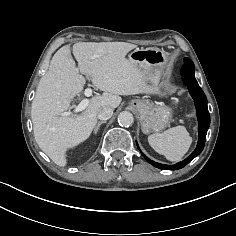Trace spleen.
<instances>
[{
  "label": "spleen",
  "mask_w": 236,
  "mask_h": 236,
  "mask_svg": "<svg viewBox=\"0 0 236 236\" xmlns=\"http://www.w3.org/2000/svg\"><path fill=\"white\" fill-rule=\"evenodd\" d=\"M150 146L169 161H180L188 152L192 138L184 126L170 128L163 133H154L148 136Z\"/></svg>",
  "instance_id": "spleen-1"
}]
</instances>
